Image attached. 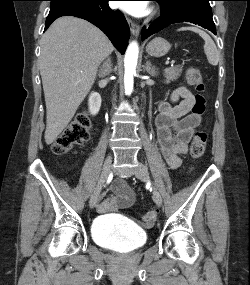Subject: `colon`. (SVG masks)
Instances as JSON below:
<instances>
[{
  "label": "colon",
  "mask_w": 250,
  "mask_h": 285,
  "mask_svg": "<svg viewBox=\"0 0 250 285\" xmlns=\"http://www.w3.org/2000/svg\"><path fill=\"white\" fill-rule=\"evenodd\" d=\"M187 82L196 90L195 101L192 107V114L202 116L206 108V99L204 96L205 85L199 69L189 67L186 70ZM91 120L86 112L76 115L74 120L64 129V131L55 139L52 144V150L55 154H64L74 146L88 141L90 138ZM206 134L198 130L190 145V154L194 159L200 158L206 149ZM157 213L150 210L143 215L146 223H153L156 220Z\"/></svg>",
  "instance_id": "5ec220e1"
}]
</instances>
